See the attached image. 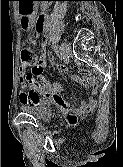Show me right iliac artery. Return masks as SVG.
I'll return each instance as SVG.
<instances>
[{"label":"right iliac artery","mask_w":123,"mask_h":167,"mask_svg":"<svg viewBox=\"0 0 123 167\" xmlns=\"http://www.w3.org/2000/svg\"><path fill=\"white\" fill-rule=\"evenodd\" d=\"M54 51H55L56 53H59V52H60V47H59V46H55V47H54Z\"/></svg>","instance_id":"right-iliac-artery-1"}]
</instances>
